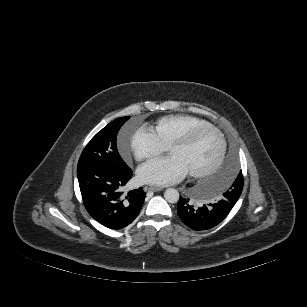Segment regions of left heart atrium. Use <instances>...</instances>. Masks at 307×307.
<instances>
[{"label":"left heart atrium","instance_id":"1","mask_svg":"<svg viewBox=\"0 0 307 307\" xmlns=\"http://www.w3.org/2000/svg\"><path fill=\"white\" fill-rule=\"evenodd\" d=\"M188 173L184 164L175 156L156 158L142 164L137 178L142 183L169 185L180 181Z\"/></svg>","mask_w":307,"mask_h":307}]
</instances>
